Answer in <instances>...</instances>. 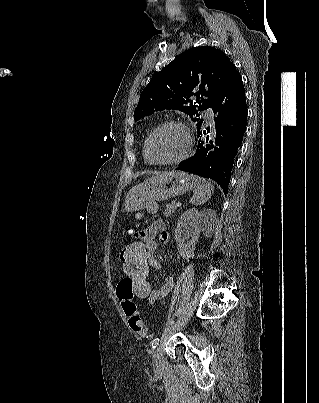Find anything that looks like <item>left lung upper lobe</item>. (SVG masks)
I'll list each match as a JSON object with an SVG mask.
<instances>
[{
	"mask_svg": "<svg viewBox=\"0 0 319 403\" xmlns=\"http://www.w3.org/2000/svg\"><path fill=\"white\" fill-rule=\"evenodd\" d=\"M232 65L223 51L211 46L185 51L152 77L140 95L134 120L174 109L188 114L199 130L203 119L198 112L211 106Z\"/></svg>",
	"mask_w": 319,
	"mask_h": 403,
	"instance_id": "left-lung-upper-lobe-1",
	"label": "left lung upper lobe"
}]
</instances>
